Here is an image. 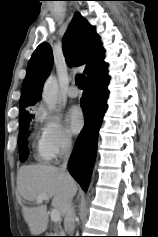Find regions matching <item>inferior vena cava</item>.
I'll list each match as a JSON object with an SVG mask.
<instances>
[{"label":"inferior vena cava","mask_w":158,"mask_h":237,"mask_svg":"<svg viewBox=\"0 0 158 237\" xmlns=\"http://www.w3.org/2000/svg\"><path fill=\"white\" fill-rule=\"evenodd\" d=\"M62 149H63L65 157L60 169L62 171H66L68 160L71 154V139L69 137H66L64 139ZM75 217H76V213H75L73 204L70 203L68 206L67 212L65 214L64 227H65L66 232L69 233L71 236L73 235L76 228Z\"/></svg>","instance_id":"inferior-vena-cava-1"}]
</instances>
